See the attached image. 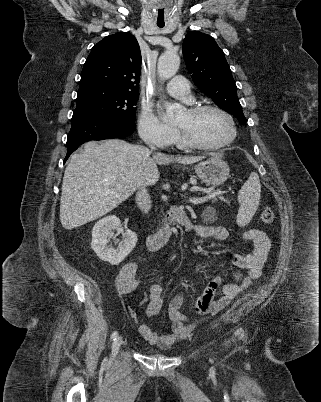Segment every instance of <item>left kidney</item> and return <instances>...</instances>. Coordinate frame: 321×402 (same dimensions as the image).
<instances>
[{
    "instance_id": "obj_1",
    "label": "left kidney",
    "mask_w": 321,
    "mask_h": 402,
    "mask_svg": "<svg viewBox=\"0 0 321 402\" xmlns=\"http://www.w3.org/2000/svg\"><path fill=\"white\" fill-rule=\"evenodd\" d=\"M215 215H216V211L213 210L212 208H208V209L203 213L204 219H205L206 221H214L215 218H216Z\"/></svg>"
}]
</instances>
